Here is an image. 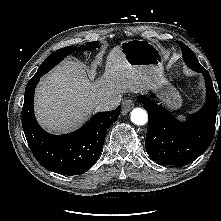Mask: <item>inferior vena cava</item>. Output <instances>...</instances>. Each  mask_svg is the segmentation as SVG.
<instances>
[{
    "label": "inferior vena cava",
    "mask_w": 221,
    "mask_h": 221,
    "mask_svg": "<svg viewBox=\"0 0 221 221\" xmlns=\"http://www.w3.org/2000/svg\"><path fill=\"white\" fill-rule=\"evenodd\" d=\"M121 102V97L113 95L98 101V107L102 110L109 111L116 108Z\"/></svg>",
    "instance_id": "602c4592"
}]
</instances>
